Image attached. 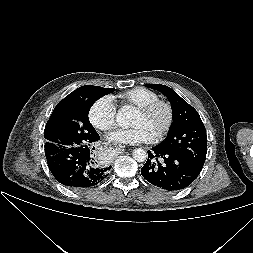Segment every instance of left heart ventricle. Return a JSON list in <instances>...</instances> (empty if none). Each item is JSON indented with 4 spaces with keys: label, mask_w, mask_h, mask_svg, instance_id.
<instances>
[{
    "label": "left heart ventricle",
    "mask_w": 253,
    "mask_h": 253,
    "mask_svg": "<svg viewBox=\"0 0 253 253\" xmlns=\"http://www.w3.org/2000/svg\"><path fill=\"white\" fill-rule=\"evenodd\" d=\"M167 121V112L163 107L156 108L148 114H142L137 111L132 117V125L145 126L154 136H156L165 126Z\"/></svg>",
    "instance_id": "obj_1"
}]
</instances>
